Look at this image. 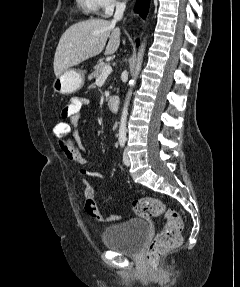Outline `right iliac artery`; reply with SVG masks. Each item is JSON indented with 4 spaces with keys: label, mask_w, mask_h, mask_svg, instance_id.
Wrapping results in <instances>:
<instances>
[{
    "label": "right iliac artery",
    "mask_w": 240,
    "mask_h": 287,
    "mask_svg": "<svg viewBox=\"0 0 240 287\" xmlns=\"http://www.w3.org/2000/svg\"><path fill=\"white\" fill-rule=\"evenodd\" d=\"M119 144H120V146L123 148L124 145H125V140H120V141H119Z\"/></svg>",
    "instance_id": "1"
}]
</instances>
